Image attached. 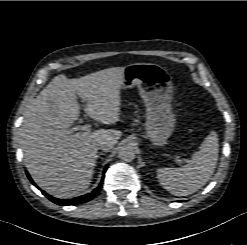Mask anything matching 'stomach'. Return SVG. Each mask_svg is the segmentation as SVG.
Masks as SVG:
<instances>
[{
	"instance_id": "obj_1",
	"label": "stomach",
	"mask_w": 247,
	"mask_h": 245,
	"mask_svg": "<svg viewBox=\"0 0 247 245\" xmlns=\"http://www.w3.org/2000/svg\"><path fill=\"white\" fill-rule=\"evenodd\" d=\"M123 68L122 87L137 86L146 106L145 138L155 146L165 145L176 123L171 110L170 75L165 68L153 63H132Z\"/></svg>"
}]
</instances>
